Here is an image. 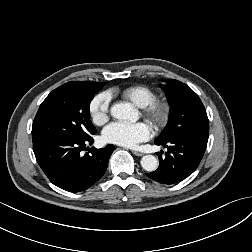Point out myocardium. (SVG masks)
I'll list each match as a JSON object with an SVG mask.
<instances>
[{"label": "myocardium", "instance_id": "myocardium-1", "mask_svg": "<svg viewBox=\"0 0 252 252\" xmlns=\"http://www.w3.org/2000/svg\"><path fill=\"white\" fill-rule=\"evenodd\" d=\"M143 114L154 127L162 128L168 122L170 106L165 101L155 100L143 108Z\"/></svg>", "mask_w": 252, "mask_h": 252}]
</instances>
